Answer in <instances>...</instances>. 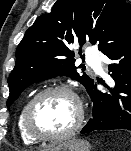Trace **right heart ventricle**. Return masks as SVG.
Wrapping results in <instances>:
<instances>
[{
    "label": "right heart ventricle",
    "instance_id": "e07e8e85",
    "mask_svg": "<svg viewBox=\"0 0 131 151\" xmlns=\"http://www.w3.org/2000/svg\"><path fill=\"white\" fill-rule=\"evenodd\" d=\"M26 103H24L20 109L19 115H18V120H17V127H18V132L20 135V138L25 144H34L36 141L31 139L27 133L25 132L24 126H23V113L26 107Z\"/></svg>",
    "mask_w": 131,
    "mask_h": 151
}]
</instances>
